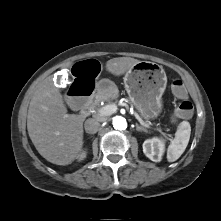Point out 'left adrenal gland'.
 I'll return each instance as SVG.
<instances>
[{
	"mask_svg": "<svg viewBox=\"0 0 221 221\" xmlns=\"http://www.w3.org/2000/svg\"><path fill=\"white\" fill-rule=\"evenodd\" d=\"M136 130L137 131H144V132H146V129L144 127H142V126H139L138 124L136 125Z\"/></svg>",
	"mask_w": 221,
	"mask_h": 221,
	"instance_id": "1",
	"label": "left adrenal gland"
}]
</instances>
